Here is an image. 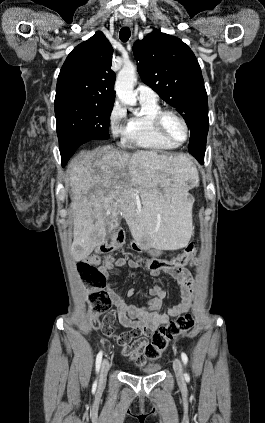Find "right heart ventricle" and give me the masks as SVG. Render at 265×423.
Instances as JSON below:
<instances>
[{"label":"right heart ventricle","instance_id":"right-heart-ventricle-1","mask_svg":"<svg viewBox=\"0 0 265 423\" xmlns=\"http://www.w3.org/2000/svg\"><path fill=\"white\" fill-rule=\"evenodd\" d=\"M140 104L141 112L133 115L124 128V143L158 152L176 149L178 145L163 139L154 127V116L162 109L158 101H140Z\"/></svg>","mask_w":265,"mask_h":423}]
</instances>
